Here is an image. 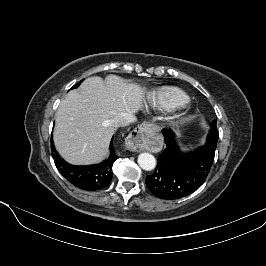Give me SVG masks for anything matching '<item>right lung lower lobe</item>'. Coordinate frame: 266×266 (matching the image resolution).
I'll return each instance as SVG.
<instances>
[{
	"label": "right lung lower lobe",
	"instance_id": "obj_1",
	"mask_svg": "<svg viewBox=\"0 0 266 266\" xmlns=\"http://www.w3.org/2000/svg\"><path fill=\"white\" fill-rule=\"evenodd\" d=\"M51 150L59 172L79 189L86 191L100 190L106 187L113 177L112 166L118 158L113 147V138L110 143L109 158L97 165L74 166L67 163L55 150L53 140H51Z\"/></svg>",
	"mask_w": 266,
	"mask_h": 266
}]
</instances>
